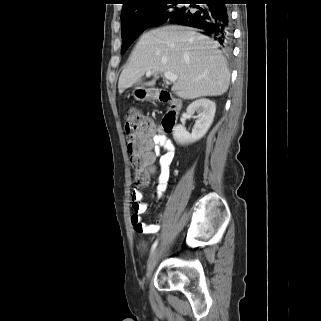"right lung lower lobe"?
Returning a JSON list of instances; mask_svg holds the SVG:
<instances>
[{
  "label": "right lung lower lobe",
  "mask_w": 321,
  "mask_h": 321,
  "mask_svg": "<svg viewBox=\"0 0 321 321\" xmlns=\"http://www.w3.org/2000/svg\"><path fill=\"white\" fill-rule=\"evenodd\" d=\"M189 6L174 12L167 23L205 30L222 46L231 40L230 17L227 4L230 0H188Z\"/></svg>",
  "instance_id": "1"
}]
</instances>
